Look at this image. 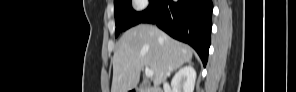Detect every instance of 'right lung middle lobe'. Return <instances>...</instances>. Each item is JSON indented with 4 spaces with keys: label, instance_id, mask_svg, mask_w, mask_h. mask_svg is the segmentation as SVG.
Segmentation results:
<instances>
[{
    "label": "right lung middle lobe",
    "instance_id": "right-lung-middle-lobe-1",
    "mask_svg": "<svg viewBox=\"0 0 296 92\" xmlns=\"http://www.w3.org/2000/svg\"><path fill=\"white\" fill-rule=\"evenodd\" d=\"M150 4L145 11L136 12L131 7V0H114L115 6V37L120 32L139 24L142 19L153 10L159 0H149Z\"/></svg>",
    "mask_w": 296,
    "mask_h": 92
}]
</instances>
